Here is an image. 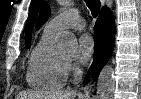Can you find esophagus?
I'll return each instance as SVG.
<instances>
[{
    "label": "esophagus",
    "instance_id": "34e87169",
    "mask_svg": "<svg viewBox=\"0 0 141 99\" xmlns=\"http://www.w3.org/2000/svg\"><path fill=\"white\" fill-rule=\"evenodd\" d=\"M83 92H84V95H85L86 97H89V95H90V93H91L90 87H89V86L84 87Z\"/></svg>",
    "mask_w": 141,
    "mask_h": 99
}]
</instances>
